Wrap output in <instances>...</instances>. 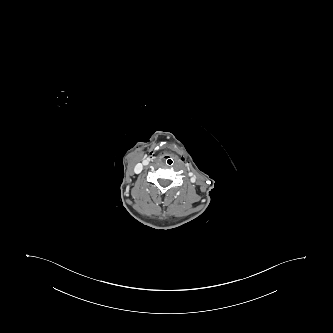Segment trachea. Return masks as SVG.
Here are the masks:
<instances>
[{
    "label": "trachea",
    "mask_w": 333,
    "mask_h": 333,
    "mask_svg": "<svg viewBox=\"0 0 333 333\" xmlns=\"http://www.w3.org/2000/svg\"><path fill=\"white\" fill-rule=\"evenodd\" d=\"M160 163L164 166V167H172L175 164V159L174 157H172L170 154H164L161 158H160Z\"/></svg>",
    "instance_id": "1"
}]
</instances>
